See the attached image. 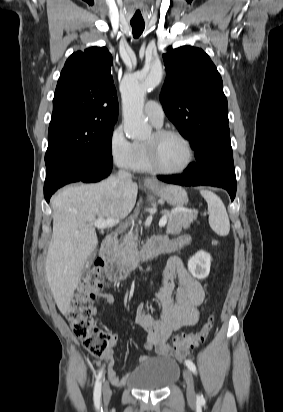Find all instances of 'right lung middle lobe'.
Here are the masks:
<instances>
[{
	"instance_id": "obj_1",
	"label": "right lung middle lobe",
	"mask_w": 283,
	"mask_h": 412,
	"mask_svg": "<svg viewBox=\"0 0 283 412\" xmlns=\"http://www.w3.org/2000/svg\"><path fill=\"white\" fill-rule=\"evenodd\" d=\"M113 127H104L94 117L78 113L52 117L45 155L46 167L62 162H112Z\"/></svg>"
}]
</instances>
